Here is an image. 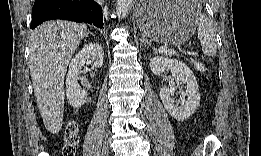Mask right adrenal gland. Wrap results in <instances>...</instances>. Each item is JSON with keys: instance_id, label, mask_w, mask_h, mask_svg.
<instances>
[{"instance_id": "2a0ac1e0", "label": "right adrenal gland", "mask_w": 261, "mask_h": 156, "mask_svg": "<svg viewBox=\"0 0 261 156\" xmlns=\"http://www.w3.org/2000/svg\"><path fill=\"white\" fill-rule=\"evenodd\" d=\"M90 34L95 38V35L93 33L90 32Z\"/></svg>"}]
</instances>
